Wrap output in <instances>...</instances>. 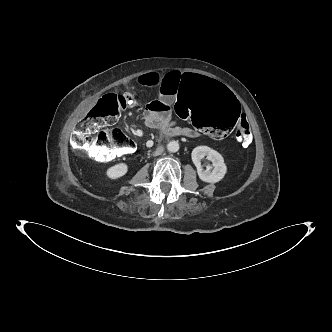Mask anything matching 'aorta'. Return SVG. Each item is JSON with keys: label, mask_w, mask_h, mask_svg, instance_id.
<instances>
[{"label": "aorta", "mask_w": 332, "mask_h": 332, "mask_svg": "<svg viewBox=\"0 0 332 332\" xmlns=\"http://www.w3.org/2000/svg\"><path fill=\"white\" fill-rule=\"evenodd\" d=\"M168 151L175 153L179 150V143L178 141H171L167 145Z\"/></svg>", "instance_id": "aorta-1"}]
</instances>
